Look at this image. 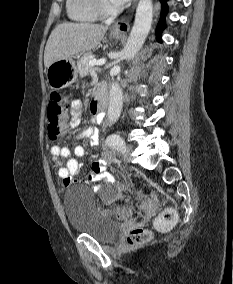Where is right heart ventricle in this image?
I'll return each instance as SVG.
<instances>
[{
  "label": "right heart ventricle",
  "mask_w": 233,
  "mask_h": 284,
  "mask_svg": "<svg viewBox=\"0 0 233 284\" xmlns=\"http://www.w3.org/2000/svg\"><path fill=\"white\" fill-rule=\"evenodd\" d=\"M68 17L76 22L92 23L98 20L93 0H66Z\"/></svg>",
  "instance_id": "obj_1"
}]
</instances>
